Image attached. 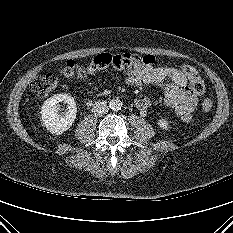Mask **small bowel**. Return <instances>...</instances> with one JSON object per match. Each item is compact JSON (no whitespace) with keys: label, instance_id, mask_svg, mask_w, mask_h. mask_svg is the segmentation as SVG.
<instances>
[{"label":"small bowel","instance_id":"1","mask_svg":"<svg viewBox=\"0 0 233 233\" xmlns=\"http://www.w3.org/2000/svg\"><path fill=\"white\" fill-rule=\"evenodd\" d=\"M130 54V53H125ZM125 54L115 55L118 60L111 64L112 68L122 73L123 81L130 86L159 85L164 87L165 104L173 109L185 122L192 119L197 104V96L188 84V78L181 68L155 67L144 65L137 59L125 60ZM169 81L166 84V81ZM135 106L144 110L150 106V100L144 95L135 99Z\"/></svg>","mask_w":233,"mask_h":233}]
</instances>
